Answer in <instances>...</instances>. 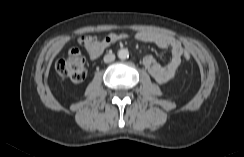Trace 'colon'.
<instances>
[{"instance_id":"5ec220e1","label":"colon","mask_w":244,"mask_h":157,"mask_svg":"<svg viewBox=\"0 0 244 157\" xmlns=\"http://www.w3.org/2000/svg\"><path fill=\"white\" fill-rule=\"evenodd\" d=\"M103 46H109L115 40V37L108 35L104 38H96ZM183 58L186 61L191 59L190 52L185 49L183 51ZM57 73L73 82H81L86 77L85 59L82 52L78 48H71L67 55L56 63Z\"/></svg>"}]
</instances>
